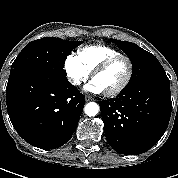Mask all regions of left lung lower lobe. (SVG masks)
Returning <instances> with one entry per match:
<instances>
[{
  "instance_id": "1",
  "label": "left lung lower lobe",
  "mask_w": 178,
  "mask_h": 178,
  "mask_svg": "<svg viewBox=\"0 0 178 178\" xmlns=\"http://www.w3.org/2000/svg\"><path fill=\"white\" fill-rule=\"evenodd\" d=\"M109 145L118 153L138 155L163 136L171 116L170 82L125 87L115 98L99 102Z\"/></svg>"
}]
</instances>
